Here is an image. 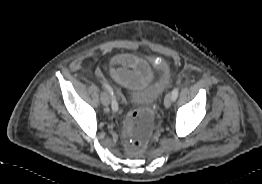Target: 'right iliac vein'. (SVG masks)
<instances>
[{
    "label": "right iliac vein",
    "mask_w": 262,
    "mask_h": 184,
    "mask_svg": "<svg viewBox=\"0 0 262 184\" xmlns=\"http://www.w3.org/2000/svg\"><path fill=\"white\" fill-rule=\"evenodd\" d=\"M101 102L104 106H108L110 104V97L106 92L101 94Z\"/></svg>",
    "instance_id": "obj_1"
}]
</instances>
